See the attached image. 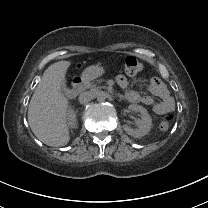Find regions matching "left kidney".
Instances as JSON below:
<instances>
[{
	"instance_id": "obj_1",
	"label": "left kidney",
	"mask_w": 208,
	"mask_h": 208,
	"mask_svg": "<svg viewBox=\"0 0 208 208\" xmlns=\"http://www.w3.org/2000/svg\"><path fill=\"white\" fill-rule=\"evenodd\" d=\"M130 111L140 112L141 120L138 121V128L133 129L128 125H124L123 129L126 131L128 135H131L135 138H140L148 134L151 130L152 119L149 115L148 111L141 105L131 104L128 106Z\"/></svg>"
}]
</instances>
